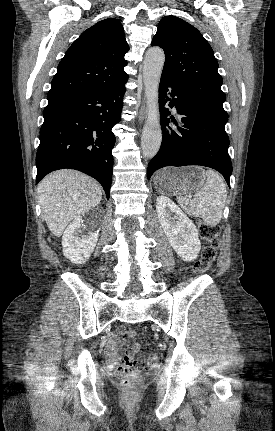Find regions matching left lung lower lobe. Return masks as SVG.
Instances as JSON below:
<instances>
[{
	"label": "left lung lower lobe",
	"mask_w": 275,
	"mask_h": 431,
	"mask_svg": "<svg viewBox=\"0 0 275 431\" xmlns=\"http://www.w3.org/2000/svg\"><path fill=\"white\" fill-rule=\"evenodd\" d=\"M159 98L163 138L160 150L148 165L147 178L166 166L201 165L219 171L230 187L232 163L228 155L229 138L225 132L228 117L204 109L163 76ZM167 101H170L171 108H176L179 118H167L170 115L164 107ZM170 121L173 125H169Z\"/></svg>",
	"instance_id": "left-lung-lower-lobe-1"
}]
</instances>
